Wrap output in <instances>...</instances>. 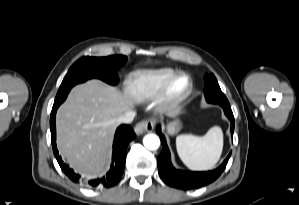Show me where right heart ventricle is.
<instances>
[{
    "label": "right heart ventricle",
    "instance_id": "e07e8e85",
    "mask_svg": "<svg viewBox=\"0 0 299 205\" xmlns=\"http://www.w3.org/2000/svg\"><path fill=\"white\" fill-rule=\"evenodd\" d=\"M175 74L170 68L139 70L131 73L125 82L124 92L136 103L151 100Z\"/></svg>",
    "mask_w": 299,
    "mask_h": 205
}]
</instances>
